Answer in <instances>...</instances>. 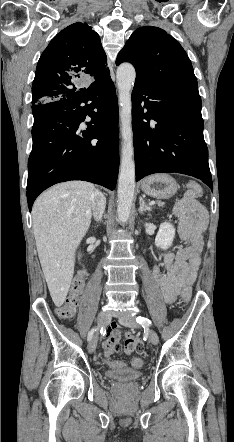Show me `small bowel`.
<instances>
[{"mask_svg": "<svg viewBox=\"0 0 234 442\" xmlns=\"http://www.w3.org/2000/svg\"><path fill=\"white\" fill-rule=\"evenodd\" d=\"M174 213L179 221V236L184 241V245L165 254L163 259L165 273L159 266L153 267V276L167 303L174 302L181 290L196 280L200 266L202 237L208 223L207 210L191 192L185 193L176 203ZM121 336V330L116 324H111L103 343V353L105 350L115 351L116 347H120L118 342ZM134 351L136 355L142 356L147 351V346L141 342L140 336H127L125 352L130 355Z\"/></svg>", "mask_w": 234, "mask_h": 442, "instance_id": "obj_1", "label": "small bowel"}]
</instances>
